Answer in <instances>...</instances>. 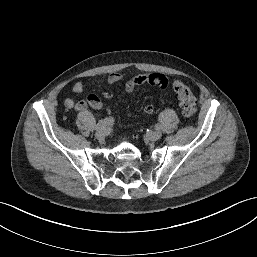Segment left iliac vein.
<instances>
[{
    "label": "left iliac vein",
    "instance_id": "4c4485c4",
    "mask_svg": "<svg viewBox=\"0 0 257 257\" xmlns=\"http://www.w3.org/2000/svg\"><path fill=\"white\" fill-rule=\"evenodd\" d=\"M161 136H162V133H161V131H159V130L152 131V132H150V133L148 134V137H149V139H150L151 141H156V140L160 139Z\"/></svg>",
    "mask_w": 257,
    "mask_h": 257
}]
</instances>
